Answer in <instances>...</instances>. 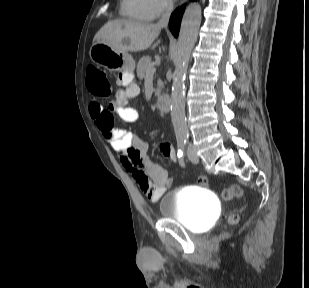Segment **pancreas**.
Here are the masks:
<instances>
[{
  "mask_svg": "<svg viewBox=\"0 0 309 288\" xmlns=\"http://www.w3.org/2000/svg\"><path fill=\"white\" fill-rule=\"evenodd\" d=\"M151 57L144 56L137 63V76L140 80H142L146 75L147 71L150 67H152ZM162 83L158 81V87L155 91V96H159L161 92Z\"/></svg>",
  "mask_w": 309,
  "mask_h": 288,
  "instance_id": "pancreas-1",
  "label": "pancreas"
}]
</instances>
